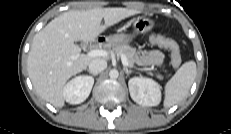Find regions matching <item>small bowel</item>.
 <instances>
[{"label":"small bowel","instance_id":"c3829d8e","mask_svg":"<svg viewBox=\"0 0 231 134\" xmlns=\"http://www.w3.org/2000/svg\"><path fill=\"white\" fill-rule=\"evenodd\" d=\"M164 61V54L157 49L144 50L137 56V62L145 66H159Z\"/></svg>","mask_w":231,"mask_h":134}]
</instances>
